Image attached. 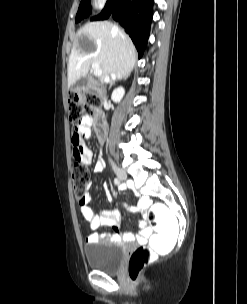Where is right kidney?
<instances>
[{
	"label": "right kidney",
	"instance_id": "1",
	"mask_svg": "<svg viewBox=\"0 0 247 304\" xmlns=\"http://www.w3.org/2000/svg\"><path fill=\"white\" fill-rule=\"evenodd\" d=\"M125 94V89L123 87H117L116 89H114L112 95H111V99L113 102L118 103L121 101V99L123 98Z\"/></svg>",
	"mask_w": 247,
	"mask_h": 304
}]
</instances>
